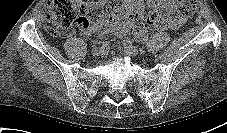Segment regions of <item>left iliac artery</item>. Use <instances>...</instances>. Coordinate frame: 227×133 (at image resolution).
<instances>
[{"label": "left iliac artery", "mask_w": 227, "mask_h": 133, "mask_svg": "<svg viewBox=\"0 0 227 133\" xmlns=\"http://www.w3.org/2000/svg\"><path fill=\"white\" fill-rule=\"evenodd\" d=\"M146 40H147V39H146ZM146 40H144V41H146ZM124 43H125V44L131 45V44L133 43V40L130 39V38H127V39L124 40Z\"/></svg>", "instance_id": "obj_1"}]
</instances>
